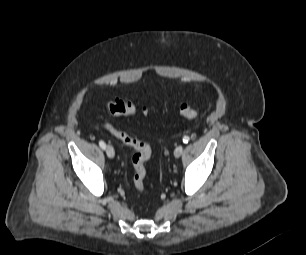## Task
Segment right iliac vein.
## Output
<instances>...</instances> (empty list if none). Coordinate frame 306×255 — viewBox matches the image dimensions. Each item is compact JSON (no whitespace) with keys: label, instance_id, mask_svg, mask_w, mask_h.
Segmentation results:
<instances>
[{"label":"right iliac vein","instance_id":"right-iliac-vein-1","mask_svg":"<svg viewBox=\"0 0 306 255\" xmlns=\"http://www.w3.org/2000/svg\"><path fill=\"white\" fill-rule=\"evenodd\" d=\"M106 154L109 158H113L115 156L114 148L111 145H107Z\"/></svg>","mask_w":306,"mask_h":255}]
</instances>
